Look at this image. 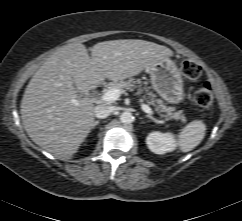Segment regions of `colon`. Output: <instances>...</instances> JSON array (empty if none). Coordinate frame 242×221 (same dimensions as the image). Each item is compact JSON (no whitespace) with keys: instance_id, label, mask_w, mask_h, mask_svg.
<instances>
[{"instance_id":"5ec220e1","label":"colon","mask_w":242,"mask_h":221,"mask_svg":"<svg viewBox=\"0 0 242 221\" xmlns=\"http://www.w3.org/2000/svg\"><path fill=\"white\" fill-rule=\"evenodd\" d=\"M182 73L190 79L198 78L202 69L201 66L192 60H185L181 63ZM194 101L201 108H208L213 102V90L211 85L206 82L202 84L194 93Z\"/></svg>"}]
</instances>
